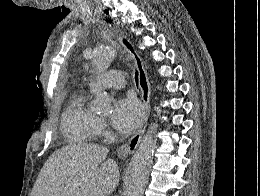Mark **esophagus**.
Instances as JSON below:
<instances>
[{
    "mask_svg": "<svg viewBox=\"0 0 260 196\" xmlns=\"http://www.w3.org/2000/svg\"><path fill=\"white\" fill-rule=\"evenodd\" d=\"M119 41L125 48V50L132 55L135 65L137 68L138 76H139V87L142 93V102L144 106V115L142 118L141 125L139 129L136 131L135 135L130 138L127 143L123 144L120 148H118L117 152L121 158H125L130 154H133L136 148L138 147L145 128L147 126V121L150 114V95H151V88L150 83L147 77L146 70L143 66V62L138 55L137 51L134 48V45L125 37L124 34H119Z\"/></svg>",
    "mask_w": 260,
    "mask_h": 196,
    "instance_id": "34e87169",
    "label": "esophagus"
}]
</instances>
